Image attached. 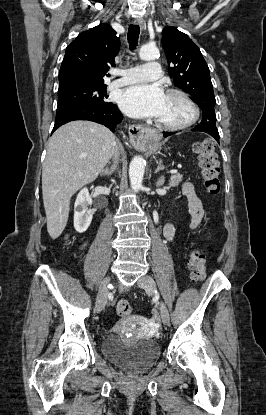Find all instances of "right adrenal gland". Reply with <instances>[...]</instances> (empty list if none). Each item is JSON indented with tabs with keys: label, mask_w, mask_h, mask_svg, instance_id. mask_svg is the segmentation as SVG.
<instances>
[{
	"label": "right adrenal gland",
	"mask_w": 266,
	"mask_h": 415,
	"mask_svg": "<svg viewBox=\"0 0 266 415\" xmlns=\"http://www.w3.org/2000/svg\"><path fill=\"white\" fill-rule=\"evenodd\" d=\"M114 170H115V163L112 167H110V168L106 167L105 169H103L100 172V175L101 176L106 175V176L110 177L113 174Z\"/></svg>",
	"instance_id": "2a0ac1e0"
}]
</instances>
